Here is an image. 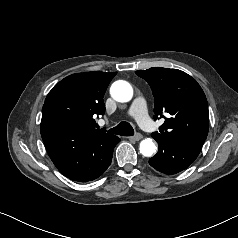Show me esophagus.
<instances>
[{
  "label": "esophagus",
  "mask_w": 238,
  "mask_h": 238,
  "mask_svg": "<svg viewBox=\"0 0 238 238\" xmlns=\"http://www.w3.org/2000/svg\"><path fill=\"white\" fill-rule=\"evenodd\" d=\"M143 138V136L140 133L135 134L132 137H129L130 140H134V141H139Z\"/></svg>",
  "instance_id": "1"
}]
</instances>
